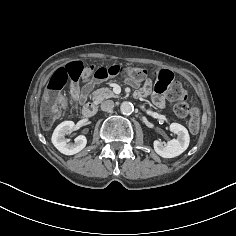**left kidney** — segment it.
<instances>
[{
	"label": "left kidney",
	"mask_w": 236,
	"mask_h": 236,
	"mask_svg": "<svg viewBox=\"0 0 236 236\" xmlns=\"http://www.w3.org/2000/svg\"><path fill=\"white\" fill-rule=\"evenodd\" d=\"M170 131L177 135L176 139H172L167 143L154 141L155 152L163 158H173L182 154L189 146L188 130L178 123L170 124Z\"/></svg>",
	"instance_id": "1"
}]
</instances>
